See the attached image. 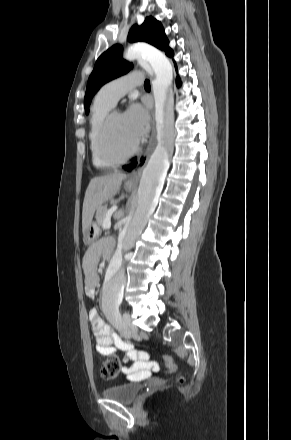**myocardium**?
<instances>
[{
  "instance_id": "1",
  "label": "myocardium",
  "mask_w": 291,
  "mask_h": 440,
  "mask_svg": "<svg viewBox=\"0 0 291 440\" xmlns=\"http://www.w3.org/2000/svg\"><path fill=\"white\" fill-rule=\"evenodd\" d=\"M119 114H121L120 111L111 110L103 119L98 131V143H99V149L101 155L106 160L115 164L123 163L129 160L139 150L140 147V144L137 141V143L124 154L116 153L110 147L108 140L110 126L113 121V118Z\"/></svg>"
}]
</instances>
